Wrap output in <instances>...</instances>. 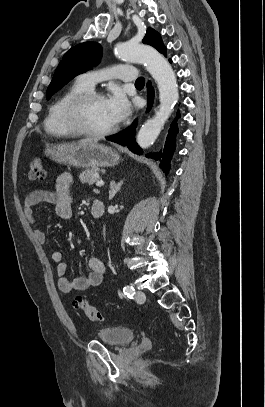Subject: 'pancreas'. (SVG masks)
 Here are the masks:
<instances>
[{"mask_svg":"<svg viewBox=\"0 0 265 407\" xmlns=\"http://www.w3.org/2000/svg\"><path fill=\"white\" fill-rule=\"evenodd\" d=\"M99 172L98 168H92V169H87L83 171L79 175V179L81 183H88L89 185H92L94 182L99 180L100 178L97 176Z\"/></svg>","mask_w":265,"mask_h":407,"instance_id":"cf45deb5","label":"pancreas"}]
</instances>
